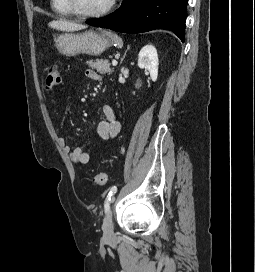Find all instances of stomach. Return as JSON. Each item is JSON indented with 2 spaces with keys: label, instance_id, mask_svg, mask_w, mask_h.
<instances>
[{
  "label": "stomach",
  "instance_id": "stomach-1",
  "mask_svg": "<svg viewBox=\"0 0 255 272\" xmlns=\"http://www.w3.org/2000/svg\"><path fill=\"white\" fill-rule=\"evenodd\" d=\"M112 39L104 33L89 30L83 33H63L55 40L58 51L68 57L79 54L98 56L112 45Z\"/></svg>",
  "mask_w": 255,
  "mask_h": 272
}]
</instances>
